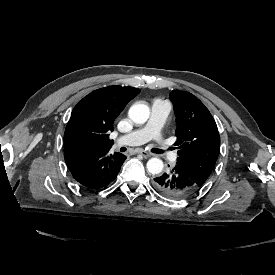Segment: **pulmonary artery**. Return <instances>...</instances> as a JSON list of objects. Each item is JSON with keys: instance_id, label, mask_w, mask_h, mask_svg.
Listing matches in <instances>:
<instances>
[{"instance_id": "pulmonary-artery-1", "label": "pulmonary artery", "mask_w": 275, "mask_h": 275, "mask_svg": "<svg viewBox=\"0 0 275 275\" xmlns=\"http://www.w3.org/2000/svg\"><path fill=\"white\" fill-rule=\"evenodd\" d=\"M170 110V103L164 98H157L153 102V110L151 112V120L149 123L140 128H136L132 132L122 135L115 140V146H137L144 143L149 138L156 148L165 153L167 159L172 164L179 162V157L173 150L169 149L167 140L163 137L160 126L164 123L165 114Z\"/></svg>"}]
</instances>
